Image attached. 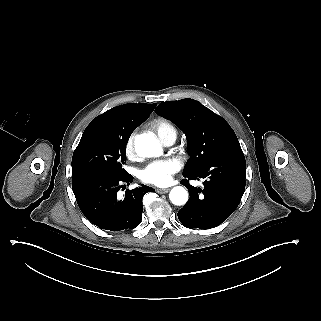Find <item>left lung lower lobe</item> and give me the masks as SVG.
Masks as SVG:
<instances>
[{
    "instance_id": "0a47b994",
    "label": "left lung lower lobe",
    "mask_w": 321,
    "mask_h": 321,
    "mask_svg": "<svg viewBox=\"0 0 321 321\" xmlns=\"http://www.w3.org/2000/svg\"><path fill=\"white\" fill-rule=\"evenodd\" d=\"M181 184L189 190L188 203L178 212L187 228L210 229L224 222L239 205L245 191L246 161L241 151L219 155L194 173L185 174ZM203 179L202 189L188 180Z\"/></svg>"
}]
</instances>
